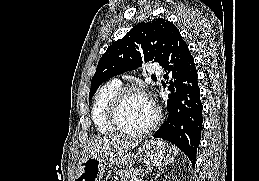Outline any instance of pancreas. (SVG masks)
I'll return each instance as SVG.
<instances>
[{
  "instance_id": "cf45deb5",
  "label": "pancreas",
  "mask_w": 259,
  "mask_h": 181,
  "mask_svg": "<svg viewBox=\"0 0 259 181\" xmlns=\"http://www.w3.org/2000/svg\"><path fill=\"white\" fill-rule=\"evenodd\" d=\"M140 171V169L126 168L124 170H118L116 174L121 181H131L130 179L138 176Z\"/></svg>"
}]
</instances>
